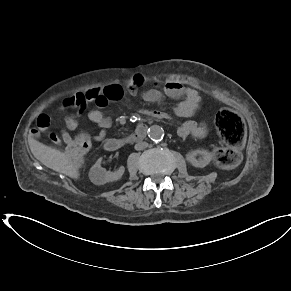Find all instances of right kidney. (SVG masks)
<instances>
[{
	"label": "right kidney",
	"instance_id": "obj_1",
	"mask_svg": "<svg viewBox=\"0 0 291 291\" xmlns=\"http://www.w3.org/2000/svg\"><path fill=\"white\" fill-rule=\"evenodd\" d=\"M102 159H98L97 162L92 166L89 172V178L95 185H103L107 182H113L121 179L124 174L125 168L121 166L114 172L106 171L101 167Z\"/></svg>",
	"mask_w": 291,
	"mask_h": 291
}]
</instances>
